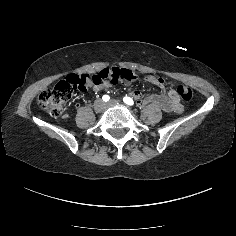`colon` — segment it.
Returning <instances> with one entry per match:
<instances>
[{"label": "colon", "mask_w": 236, "mask_h": 236, "mask_svg": "<svg viewBox=\"0 0 236 236\" xmlns=\"http://www.w3.org/2000/svg\"><path fill=\"white\" fill-rule=\"evenodd\" d=\"M136 74L125 68L104 69L98 74H70L59 81L53 88L44 90L38 96L39 107L54 118H61L66 104L76 91L96 89L103 84H129L135 81ZM177 95L184 101L192 98V90L185 86H179Z\"/></svg>", "instance_id": "1"}]
</instances>
